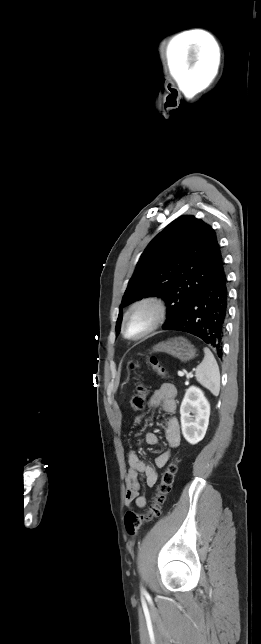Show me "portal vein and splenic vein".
I'll return each mask as SVG.
<instances>
[{
    "label": "portal vein and splenic vein",
    "instance_id": "obj_1",
    "mask_svg": "<svg viewBox=\"0 0 261 644\" xmlns=\"http://www.w3.org/2000/svg\"><path fill=\"white\" fill-rule=\"evenodd\" d=\"M185 375V372L183 371H178V376L183 377ZM188 376H192V374H188Z\"/></svg>",
    "mask_w": 261,
    "mask_h": 644
}]
</instances>
